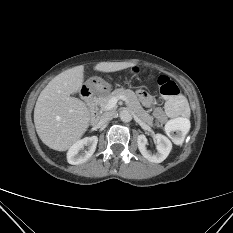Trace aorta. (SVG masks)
<instances>
[{"label":"aorta","instance_id":"762f6f07","mask_svg":"<svg viewBox=\"0 0 233 233\" xmlns=\"http://www.w3.org/2000/svg\"><path fill=\"white\" fill-rule=\"evenodd\" d=\"M119 116L123 122H129L132 118L131 114L126 109L121 110Z\"/></svg>","mask_w":233,"mask_h":233}]
</instances>
